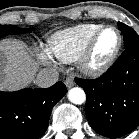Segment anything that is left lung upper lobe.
<instances>
[{
	"mask_svg": "<svg viewBox=\"0 0 139 139\" xmlns=\"http://www.w3.org/2000/svg\"><path fill=\"white\" fill-rule=\"evenodd\" d=\"M118 26L124 36L125 49L139 46V35L132 28L121 22L118 23Z\"/></svg>",
	"mask_w": 139,
	"mask_h": 139,
	"instance_id": "5c2ea615",
	"label": "left lung upper lobe"
}]
</instances>
